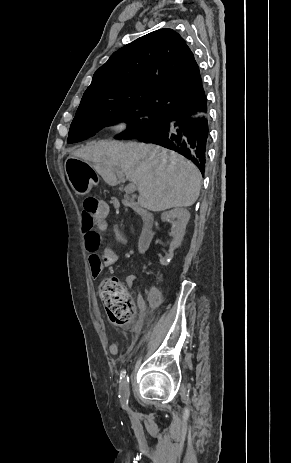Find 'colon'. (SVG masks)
I'll return each instance as SVG.
<instances>
[{"instance_id":"obj_1","label":"colon","mask_w":291,"mask_h":463,"mask_svg":"<svg viewBox=\"0 0 291 463\" xmlns=\"http://www.w3.org/2000/svg\"><path fill=\"white\" fill-rule=\"evenodd\" d=\"M83 229H96L97 218L107 217L108 210L104 201L89 197L82 205ZM100 298L104 304L109 319L117 325L130 323L134 316V306L131 295L116 277L105 278L100 285ZM153 304L160 301V294L153 292L150 296Z\"/></svg>"}]
</instances>
